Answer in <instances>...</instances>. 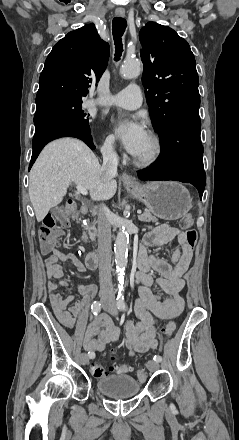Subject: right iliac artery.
<instances>
[{"instance_id": "82829eb1", "label": "right iliac artery", "mask_w": 239, "mask_h": 440, "mask_svg": "<svg viewBox=\"0 0 239 440\" xmlns=\"http://www.w3.org/2000/svg\"><path fill=\"white\" fill-rule=\"evenodd\" d=\"M91 310L94 315H97L101 310V303L99 301L93 302V304L91 305ZM88 356L90 358H94V354L90 352H88Z\"/></svg>"}]
</instances>
